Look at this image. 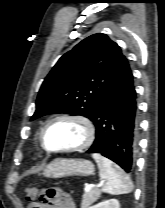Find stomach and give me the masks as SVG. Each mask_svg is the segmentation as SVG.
<instances>
[{"mask_svg": "<svg viewBox=\"0 0 165 208\" xmlns=\"http://www.w3.org/2000/svg\"><path fill=\"white\" fill-rule=\"evenodd\" d=\"M93 163L85 159L57 158L44 169L43 175L47 178H63L68 176H88L94 174Z\"/></svg>", "mask_w": 165, "mask_h": 208, "instance_id": "obj_1", "label": "stomach"}]
</instances>
